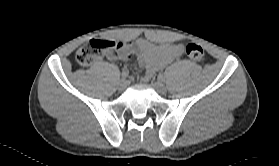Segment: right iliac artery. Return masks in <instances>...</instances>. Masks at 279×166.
Listing matches in <instances>:
<instances>
[{"label":"right iliac artery","instance_id":"right-iliac-artery-1","mask_svg":"<svg viewBox=\"0 0 279 166\" xmlns=\"http://www.w3.org/2000/svg\"><path fill=\"white\" fill-rule=\"evenodd\" d=\"M121 76H122V79L127 78V77L129 76V71H128V70H124V71H122Z\"/></svg>","mask_w":279,"mask_h":166}]
</instances>
